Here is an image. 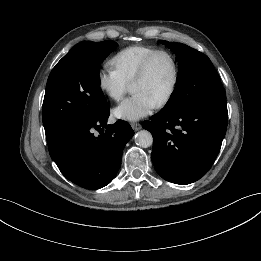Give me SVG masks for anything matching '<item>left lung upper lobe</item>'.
<instances>
[{"instance_id": "obj_1", "label": "left lung upper lobe", "mask_w": 261, "mask_h": 261, "mask_svg": "<svg viewBox=\"0 0 261 261\" xmlns=\"http://www.w3.org/2000/svg\"><path fill=\"white\" fill-rule=\"evenodd\" d=\"M177 55V89L163 110L185 113L200 105L226 100L225 90L210 59L182 43L160 40Z\"/></svg>"}]
</instances>
